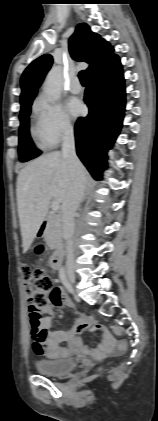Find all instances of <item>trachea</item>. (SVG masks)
<instances>
[{
	"label": "trachea",
	"mask_w": 158,
	"mask_h": 421,
	"mask_svg": "<svg viewBox=\"0 0 158 421\" xmlns=\"http://www.w3.org/2000/svg\"><path fill=\"white\" fill-rule=\"evenodd\" d=\"M79 79L82 84H87V73L85 70L79 73Z\"/></svg>",
	"instance_id": "trachea-1"
}]
</instances>
